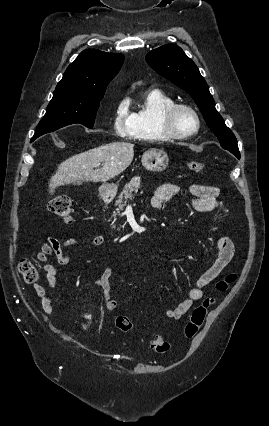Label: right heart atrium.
<instances>
[{
  "label": "right heart atrium",
  "mask_w": 269,
  "mask_h": 426,
  "mask_svg": "<svg viewBox=\"0 0 269 426\" xmlns=\"http://www.w3.org/2000/svg\"><path fill=\"white\" fill-rule=\"evenodd\" d=\"M112 131L121 138L130 139L135 135L134 113L127 99H119L113 109Z\"/></svg>",
  "instance_id": "1"
}]
</instances>
